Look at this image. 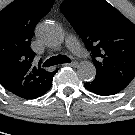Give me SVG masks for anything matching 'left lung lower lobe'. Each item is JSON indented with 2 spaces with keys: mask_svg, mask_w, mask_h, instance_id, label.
Masks as SVG:
<instances>
[{
  "mask_svg": "<svg viewBox=\"0 0 135 135\" xmlns=\"http://www.w3.org/2000/svg\"><path fill=\"white\" fill-rule=\"evenodd\" d=\"M86 89L100 96L114 95L122 91L123 89L114 86L107 85L99 80H93L91 82L84 83Z\"/></svg>",
  "mask_w": 135,
  "mask_h": 135,
  "instance_id": "0a47b994",
  "label": "left lung lower lobe"
}]
</instances>
